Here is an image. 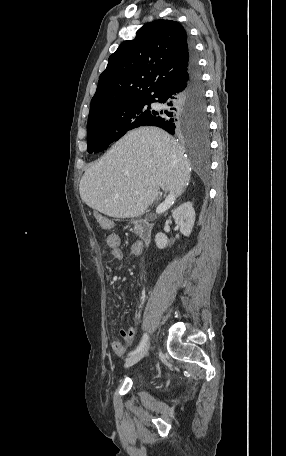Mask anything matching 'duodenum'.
<instances>
[{"instance_id": "410a0bca", "label": "duodenum", "mask_w": 286, "mask_h": 456, "mask_svg": "<svg viewBox=\"0 0 286 456\" xmlns=\"http://www.w3.org/2000/svg\"><path fill=\"white\" fill-rule=\"evenodd\" d=\"M136 229L139 235V240L142 245H147L152 239L153 225L150 221L139 220L136 223Z\"/></svg>"}]
</instances>
